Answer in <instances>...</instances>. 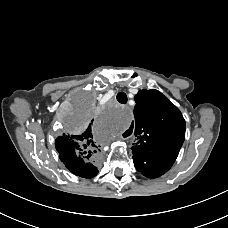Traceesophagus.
<instances>
[{"label":"esophagus","mask_w":228,"mask_h":228,"mask_svg":"<svg viewBox=\"0 0 228 228\" xmlns=\"http://www.w3.org/2000/svg\"><path fill=\"white\" fill-rule=\"evenodd\" d=\"M120 139L125 140L129 137V133L127 131H123L120 135H119Z\"/></svg>","instance_id":"1"}]
</instances>
